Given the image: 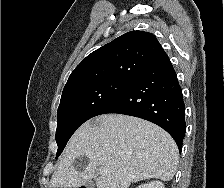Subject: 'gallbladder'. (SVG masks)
<instances>
[{"label":"gallbladder","mask_w":224,"mask_h":188,"mask_svg":"<svg viewBox=\"0 0 224 188\" xmlns=\"http://www.w3.org/2000/svg\"><path fill=\"white\" fill-rule=\"evenodd\" d=\"M94 187H95L94 182H87L86 183V188H94Z\"/></svg>","instance_id":"1"}]
</instances>
